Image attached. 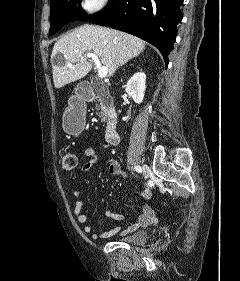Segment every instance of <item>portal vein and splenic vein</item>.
<instances>
[{
    "label": "portal vein and splenic vein",
    "mask_w": 240,
    "mask_h": 281,
    "mask_svg": "<svg viewBox=\"0 0 240 281\" xmlns=\"http://www.w3.org/2000/svg\"><path fill=\"white\" fill-rule=\"evenodd\" d=\"M86 58L93 60L95 66H96V68L98 70L99 78L103 79V78H105L107 76L108 68L101 65L97 55H95L93 53H88L86 55ZM69 66L72 67V65H69Z\"/></svg>",
    "instance_id": "obj_1"
}]
</instances>
